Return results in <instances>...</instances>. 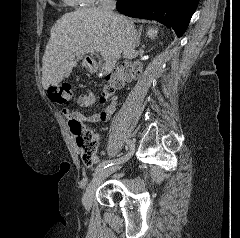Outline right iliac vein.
I'll list each match as a JSON object with an SVG mask.
<instances>
[{"label":"right iliac vein","instance_id":"63e3f726","mask_svg":"<svg viewBox=\"0 0 240 238\" xmlns=\"http://www.w3.org/2000/svg\"><path fill=\"white\" fill-rule=\"evenodd\" d=\"M120 163L109 167L107 169L102 170L90 183L88 188L86 189V192L83 196L82 202L86 210H89L91 208L93 197L95 194L96 189L98 186L102 183L104 179H106L109 175H111L113 172L120 169Z\"/></svg>","mask_w":240,"mask_h":238}]
</instances>
